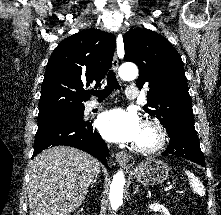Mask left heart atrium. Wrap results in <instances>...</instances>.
Segmentation results:
<instances>
[{
    "instance_id": "left-heart-atrium-1",
    "label": "left heart atrium",
    "mask_w": 221,
    "mask_h": 215,
    "mask_svg": "<svg viewBox=\"0 0 221 215\" xmlns=\"http://www.w3.org/2000/svg\"><path fill=\"white\" fill-rule=\"evenodd\" d=\"M97 126L105 139L114 142H136L142 128L136 113L123 109L102 113Z\"/></svg>"
}]
</instances>
